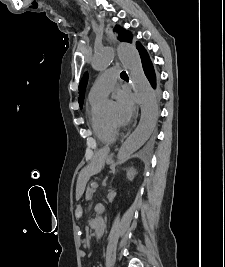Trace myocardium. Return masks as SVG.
<instances>
[{"instance_id": "f54148a6", "label": "myocardium", "mask_w": 225, "mask_h": 267, "mask_svg": "<svg viewBox=\"0 0 225 267\" xmlns=\"http://www.w3.org/2000/svg\"><path fill=\"white\" fill-rule=\"evenodd\" d=\"M107 122H108L112 127H114V123H112V122H110V121H108V120H107Z\"/></svg>"}]
</instances>
